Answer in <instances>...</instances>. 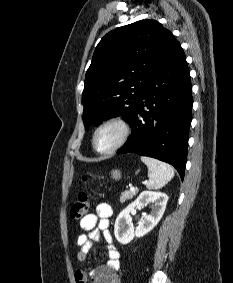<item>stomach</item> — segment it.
Listing matches in <instances>:
<instances>
[{
  "mask_svg": "<svg viewBox=\"0 0 233 283\" xmlns=\"http://www.w3.org/2000/svg\"><path fill=\"white\" fill-rule=\"evenodd\" d=\"M111 176L113 179L118 180L121 178V172L119 170H113Z\"/></svg>",
  "mask_w": 233,
  "mask_h": 283,
  "instance_id": "1",
  "label": "stomach"
}]
</instances>
